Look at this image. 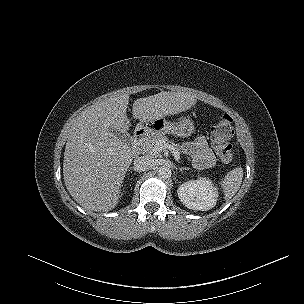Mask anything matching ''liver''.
<instances>
[{
	"instance_id": "6515ba94",
	"label": "liver",
	"mask_w": 304,
	"mask_h": 304,
	"mask_svg": "<svg viewBox=\"0 0 304 304\" xmlns=\"http://www.w3.org/2000/svg\"><path fill=\"white\" fill-rule=\"evenodd\" d=\"M186 93L163 92L134 101L141 123L184 112L196 104ZM127 94L95 103L72 126L64 152L63 176L73 199L87 212L109 211L121 198V184L134 151L126 143L130 120Z\"/></svg>"
}]
</instances>
